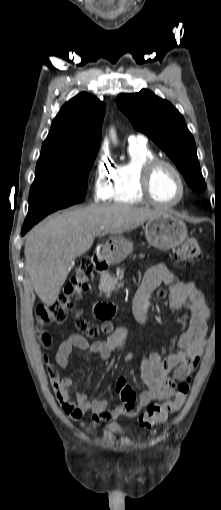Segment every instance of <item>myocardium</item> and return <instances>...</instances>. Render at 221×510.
<instances>
[{
  "label": "myocardium",
  "instance_id": "1",
  "mask_svg": "<svg viewBox=\"0 0 221 510\" xmlns=\"http://www.w3.org/2000/svg\"><path fill=\"white\" fill-rule=\"evenodd\" d=\"M161 166H166L170 168L177 176L180 183L181 187L180 196L176 201L171 203L160 202L156 200L152 194L151 190L152 177L155 171ZM138 187L143 199L146 202L150 203L151 205H154L159 208H171L177 206L184 201L187 194V184L179 168L171 161L160 157L150 158L141 164L138 173Z\"/></svg>",
  "mask_w": 221,
  "mask_h": 510
}]
</instances>
